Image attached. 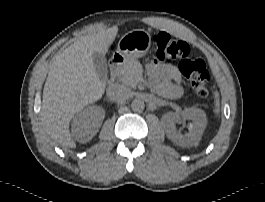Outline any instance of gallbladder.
Segmentation results:
<instances>
[{"instance_id": "obj_1", "label": "gallbladder", "mask_w": 265, "mask_h": 202, "mask_svg": "<svg viewBox=\"0 0 265 202\" xmlns=\"http://www.w3.org/2000/svg\"><path fill=\"white\" fill-rule=\"evenodd\" d=\"M92 59L96 73L101 78L107 77L108 67L105 56L101 53L95 52L92 54Z\"/></svg>"}]
</instances>
